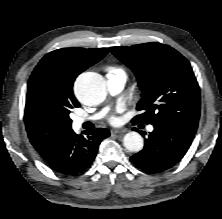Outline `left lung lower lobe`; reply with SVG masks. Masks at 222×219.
Returning <instances> with one entry per match:
<instances>
[{
  "label": "left lung lower lobe",
  "mask_w": 222,
  "mask_h": 219,
  "mask_svg": "<svg viewBox=\"0 0 222 219\" xmlns=\"http://www.w3.org/2000/svg\"><path fill=\"white\" fill-rule=\"evenodd\" d=\"M195 133L173 124H156L145 139L144 149L130 160L148 173H159L178 163L190 147Z\"/></svg>",
  "instance_id": "obj_1"
}]
</instances>
